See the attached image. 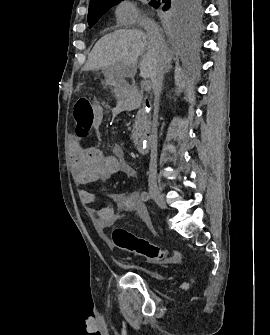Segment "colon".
I'll use <instances>...</instances> for the list:
<instances>
[{
	"label": "colon",
	"instance_id": "5ec220e1",
	"mask_svg": "<svg viewBox=\"0 0 270 335\" xmlns=\"http://www.w3.org/2000/svg\"><path fill=\"white\" fill-rule=\"evenodd\" d=\"M76 107L79 108V110H74L76 134L82 137L89 136L94 117L92 104L87 99H81L76 103ZM112 240L118 249L150 260L157 262H163L164 260L179 261L177 253L151 243L125 228H115L112 232Z\"/></svg>",
	"mask_w": 270,
	"mask_h": 335
}]
</instances>
